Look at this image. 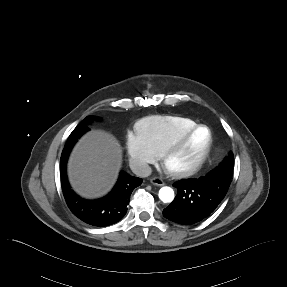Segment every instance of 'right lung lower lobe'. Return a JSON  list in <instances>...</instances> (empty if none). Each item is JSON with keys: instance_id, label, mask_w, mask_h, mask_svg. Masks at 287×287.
<instances>
[{"instance_id": "98d812e1", "label": "right lung lower lobe", "mask_w": 287, "mask_h": 287, "mask_svg": "<svg viewBox=\"0 0 287 287\" xmlns=\"http://www.w3.org/2000/svg\"><path fill=\"white\" fill-rule=\"evenodd\" d=\"M88 130L90 129L87 125L75 128L66 142L60 160L61 186L65 201L77 218L91 226L105 227L117 223L124 217L130 195L141 185L142 179L121 172L115 187L105 197L86 200L78 196L69 185L66 164L74 144Z\"/></svg>"}]
</instances>
